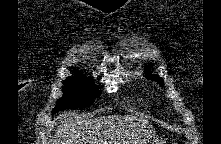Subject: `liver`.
Returning <instances> with one entry per match:
<instances>
[{
    "mask_svg": "<svg viewBox=\"0 0 221 144\" xmlns=\"http://www.w3.org/2000/svg\"><path fill=\"white\" fill-rule=\"evenodd\" d=\"M55 144H138L155 135L152 124L134 115L81 119L74 113L57 117Z\"/></svg>",
    "mask_w": 221,
    "mask_h": 144,
    "instance_id": "liver-1",
    "label": "liver"
}]
</instances>
